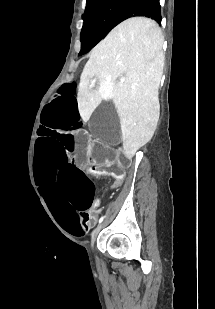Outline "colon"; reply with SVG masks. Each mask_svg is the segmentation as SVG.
Masks as SVG:
<instances>
[{"label": "colon", "mask_w": 215, "mask_h": 309, "mask_svg": "<svg viewBox=\"0 0 215 309\" xmlns=\"http://www.w3.org/2000/svg\"><path fill=\"white\" fill-rule=\"evenodd\" d=\"M93 163L97 165L99 171L105 172L114 179V186H118L124 179V169L119 162L104 161L101 158H92Z\"/></svg>", "instance_id": "5ec220e1"}]
</instances>
